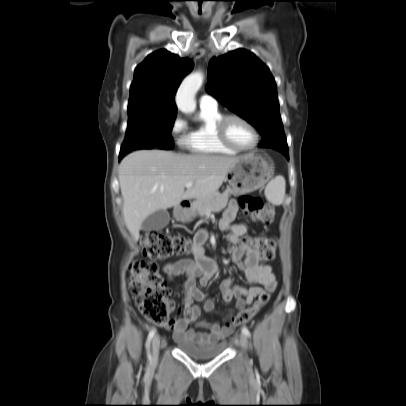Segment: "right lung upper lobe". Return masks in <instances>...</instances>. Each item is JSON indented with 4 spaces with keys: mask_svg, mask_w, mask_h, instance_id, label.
Listing matches in <instances>:
<instances>
[{
    "mask_svg": "<svg viewBox=\"0 0 406 406\" xmlns=\"http://www.w3.org/2000/svg\"><path fill=\"white\" fill-rule=\"evenodd\" d=\"M192 68L189 58H180L166 49L148 55L135 69L128 112L176 114L175 93Z\"/></svg>",
    "mask_w": 406,
    "mask_h": 406,
    "instance_id": "1",
    "label": "right lung upper lobe"
}]
</instances>
